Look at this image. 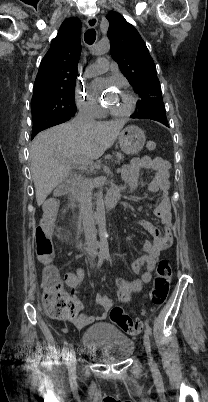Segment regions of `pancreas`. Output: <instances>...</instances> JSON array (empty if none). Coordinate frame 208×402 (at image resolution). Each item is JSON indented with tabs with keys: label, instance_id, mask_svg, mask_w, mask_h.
Returning <instances> with one entry per match:
<instances>
[{
	"label": "pancreas",
	"instance_id": "pancreas-1",
	"mask_svg": "<svg viewBox=\"0 0 208 402\" xmlns=\"http://www.w3.org/2000/svg\"><path fill=\"white\" fill-rule=\"evenodd\" d=\"M116 158H117L118 162H120V160H123L124 156H123V154H120V152H118V154H116Z\"/></svg>",
	"mask_w": 208,
	"mask_h": 402
}]
</instances>
